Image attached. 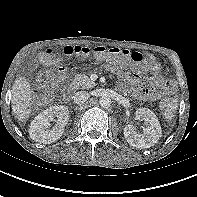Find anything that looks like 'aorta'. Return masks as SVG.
<instances>
[{"label":"aorta","mask_w":197,"mask_h":197,"mask_svg":"<svg viewBox=\"0 0 197 197\" xmlns=\"http://www.w3.org/2000/svg\"><path fill=\"white\" fill-rule=\"evenodd\" d=\"M99 104L102 108H109L111 105V99L107 96H103L100 98Z\"/></svg>","instance_id":"aorta-1"}]
</instances>
